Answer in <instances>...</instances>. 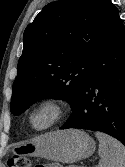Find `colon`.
<instances>
[{
    "instance_id": "obj_1",
    "label": "colon",
    "mask_w": 125,
    "mask_h": 167,
    "mask_svg": "<svg viewBox=\"0 0 125 167\" xmlns=\"http://www.w3.org/2000/svg\"><path fill=\"white\" fill-rule=\"evenodd\" d=\"M8 166L9 167H31V164L26 157L21 155H13L8 159Z\"/></svg>"
}]
</instances>
